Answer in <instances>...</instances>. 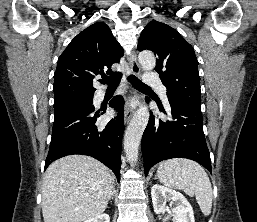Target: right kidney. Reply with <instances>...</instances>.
<instances>
[{"instance_id": "ca27d5eb", "label": "right kidney", "mask_w": 257, "mask_h": 222, "mask_svg": "<svg viewBox=\"0 0 257 222\" xmlns=\"http://www.w3.org/2000/svg\"><path fill=\"white\" fill-rule=\"evenodd\" d=\"M85 222H110V217L108 214H101L95 217H92Z\"/></svg>"}]
</instances>
